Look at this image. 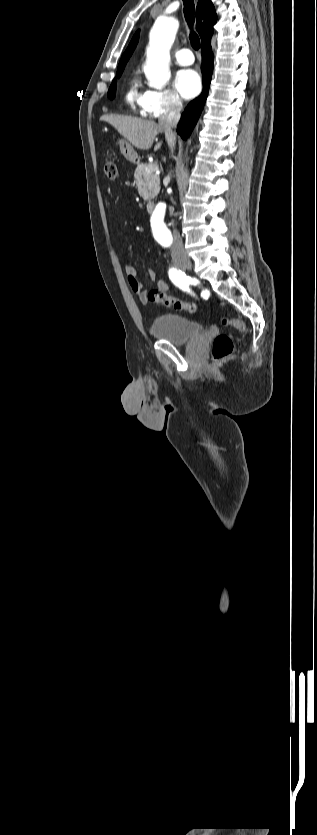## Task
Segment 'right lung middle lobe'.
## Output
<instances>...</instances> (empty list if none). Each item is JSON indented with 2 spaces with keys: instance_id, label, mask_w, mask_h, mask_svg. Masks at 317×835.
I'll use <instances>...</instances> for the list:
<instances>
[{
  "instance_id": "dd1d6c3e",
  "label": "right lung middle lobe",
  "mask_w": 317,
  "mask_h": 835,
  "mask_svg": "<svg viewBox=\"0 0 317 835\" xmlns=\"http://www.w3.org/2000/svg\"><path fill=\"white\" fill-rule=\"evenodd\" d=\"M124 67H125V65H120V66H118V69H117V78H119V77L121 76V74H122V72H123V70H124ZM115 93H116V81L114 80V81L112 82V84H111V86H110L109 90H108V97H109V98H111V99H113V98L115 97Z\"/></svg>"
}]
</instances>
